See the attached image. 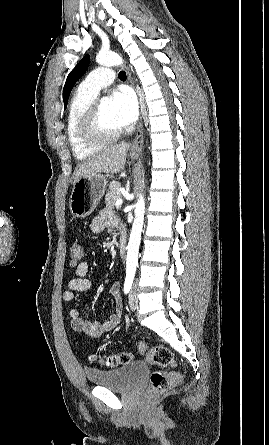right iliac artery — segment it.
I'll list each match as a JSON object with an SVG mask.
<instances>
[{"label": "right iliac artery", "mask_w": 269, "mask_h": 445, "mask_svg": "<svg viewBox=\"0 0 269 445\" xmlns=\"http://www.w3.org/2000/svg\"><path fill=\"white\" fill-rule=\"evenodd\" d=\"M132 284H133V278L127 277L125 279V283H124V293L125 294H128L130 292Z\"/></svg>", "instance_id": "1"}]
</instances>
